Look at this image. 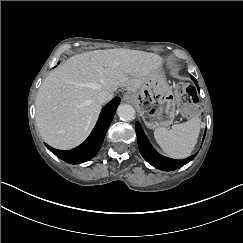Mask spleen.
I'll use <instances>...</instances> for the list:
<instances>
[{"mask_svg":"<svg viewBox=\"0 0 243 243\" xmlns=\"http://www.w3.org/2000/svg\"><path fill=\"white\" fill-rule=\"evenodd\" d=\"M200 133V119L193 117L187 122L172 126V130L158 127L154 137L162 150L170 157L184 159L193 151Z\"/></svg>","mask_w":243,"mask_h":243,"instance_id":"3e777b00","label":"spleen"}]
</instances>
